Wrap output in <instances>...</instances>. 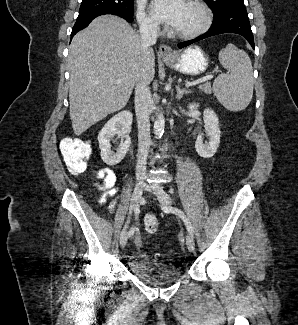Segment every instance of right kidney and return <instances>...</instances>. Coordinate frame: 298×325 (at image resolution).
Returning a JSON list of instances; mask_svg holds the SVG:
<instances>
[{
    "label": "right kidney",
    "instance_id": "1",
    "mask_svg": "<svg viewBox=\"0 0 298 325\" xmlns=\"http://www.w3.org/2000/svg\"><path fill=\"white\" fill-rule=\"evenodd\" d=\"M132 120L133 114L131 110H121V112L109 118L103 128H101L98 134V142L101 150L100 156L106 165H118V163H121L127 150H129L131 144L129 132H131ZM115 134H117L118 138H122V142L116 152L111 150L110 142Z\"/></svg>",
    "mask_w": 298,
    "mask_h": 325
}]
</instances>
